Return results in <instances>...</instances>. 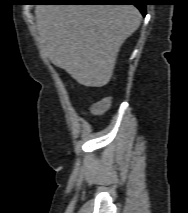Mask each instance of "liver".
Listing matches in <instances>:
<instances>
[{
  "label": "liver",
  "instance_id": "6515ba94",
  "mask_svg": "<svg viewBox=\"0 0 188 213\" xmlns=\"http://www.w3.org/2000/svg\"><path fill=\"white\" fill-rule=\"evenodd\" d=\"M35 16L49 60L87 87L109 83L121 45L142 20L133 5H37Z\"/></svg>",
  "mask_w": 188,
  "mask_h": 213
}]
</instances>
